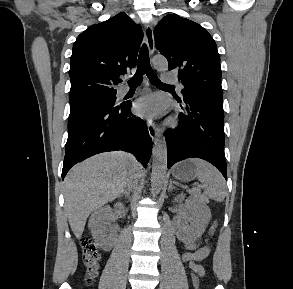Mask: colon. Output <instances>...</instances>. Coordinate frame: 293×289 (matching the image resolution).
I'll return each instance as SVG.
<instances>
[{"instance_id":"colon-1","label":"colon","mask_w":293,"mask_h":289,"mask_svg":"<svg viewBox=\"0 0 293 289\" xmlns=\"http://www.w3.org/2000/svg\"><path fill=\"white\" fill-rule=\"evenodd\" d=\"M218 227V223L214 222L210 228V235H212ZM83 251V262L86 268L85 281L91 284L98 274L99 262L101 254L96 244L90 238H84L81 241ZM193 285L197 287L200 279L204 276V270L201 266H196L194 269Z\"/></svg>"}]
</instances>
